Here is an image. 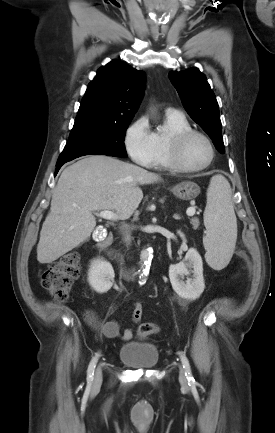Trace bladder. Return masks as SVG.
I'll return each mask as SVG.
<instances>
[{
    "mask_svg": "<svg viewBox=\"0 0 275 433\" xmlns=\"http://www.w3.org/2000/svg\"><path fill=\"white\" fill-rule=\"evenodd\" d=\"M121 362L137 368H151L158 363V348L151 343L129 341L124 343L118 352Z\"/></svg>",
    "mask_w": 275,
    "mask_h": 433,
    "instance_id": "31cf9c89",
    "label": "bladder"
}]
</instances>
